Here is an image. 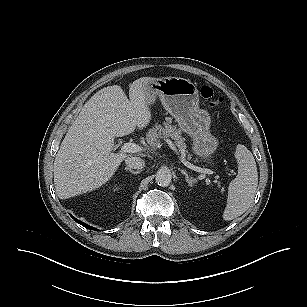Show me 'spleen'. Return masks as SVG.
<instances>
[{"label":"spleen","instance_id":"spleen-1","mask_svg":"<svg viewBox=\"0 0 307 307\" xmlns=\"http://www.w3.org/2000/svg\"><path fill=\"white\" fill-rule=\"evenodd\" d=\"M235 157L238 162V175L229 184L227 205L223 213V219L226 221L237 218L250 207L258 185V172L252 153L239 144Z\"/></svg>","mask_w":307,"mask_h":307}]
</instances>
